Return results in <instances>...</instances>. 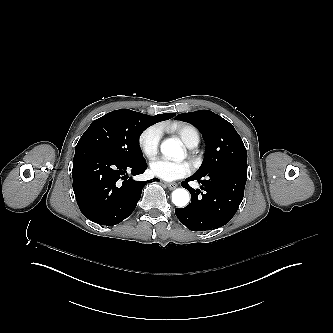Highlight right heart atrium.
I'll return each instance as SVG.
<instances>
[{"mask_svg":"<svg viewBox=\"0 0 333 333\" xmlns=\"http://www.w3.org/2000/svg\"><path fill=\"white\" fill-rule=\"evenodd\" d=\"M160 140V133L155 128L147 129L139 138L140 149L150 162L158 156Z\"/></svg>","mask_w":333,"mask_h":333,"instance_id":"1","label":"right heart atrium"}]
</instances>
